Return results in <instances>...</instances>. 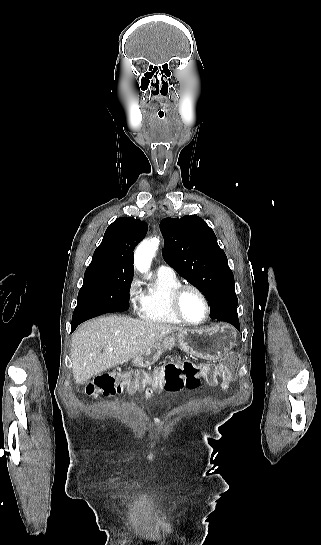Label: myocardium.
<instances>
[{"label":"myocardium","instance_id":"f54148a6","mask_svg":"<svg viewBox=\"0 0 321 545\" xmlns=\"http://www.w3.org/2000/svg\"><path fill=\"white\" fill-rule=\"evenodd\" d=\"M186 290L195 291L200 296L203 302V305L205 307V315L199 322H195V323L189 322L185 320L180 313L179 299L182 293ZM168 309L172 317L176 320L178 324L185 327H193V328L204 325L208 321L210 317V312H211V308H210V304H209L207 296L198 286L193 284H180L176 286L174 289H172L168 295Z\"/></svg>","mask_w":321,"mask_h":545}]
</instances>
